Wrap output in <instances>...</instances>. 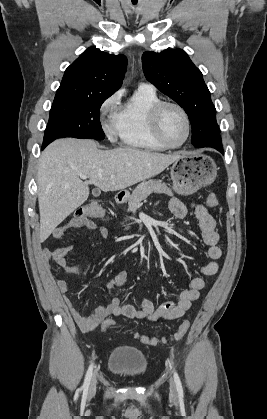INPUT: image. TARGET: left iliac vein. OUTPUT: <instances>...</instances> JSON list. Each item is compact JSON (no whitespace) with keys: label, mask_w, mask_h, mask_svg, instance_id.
I'll use <instances>...</instances> for the list:
<instances>
[{"label":"left iliac vein","mask_w":267,"mask_h":419,"mask_svg":"<svg viewBox=\"0 0 267 419\" xmlns=\"http://www.w3.org/2000/svg\"><path fill=\"white\" fill-rule=\"evenodd\" d=\"M170 394H171L172 397L177 396L176 387H175V384L172 380L170 381Z\"/></svg>","instance_id":"4c4485c4"}]
</instances>
